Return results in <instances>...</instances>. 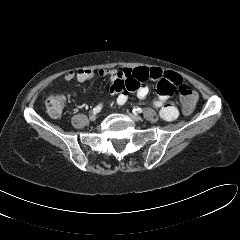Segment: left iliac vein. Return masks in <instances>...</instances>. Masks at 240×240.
Instances as JSON below:
<instances>
[{
  "label": "left iliac vein",
  "mask_w": 240,
  "mask_h": 240,
  "mask_svg": "<svg viewBox=\"0 0 240 240\" xmlns=\"http://www.w3.org/2000/svg\"><path fill=\"white\" fill-rule=\"evenodd\" d=\"M129 117L134 121H141L142 117L137 114L128 113Z\"/></svg>",
  "instance_id": "obj_1"
}]
</instances>
